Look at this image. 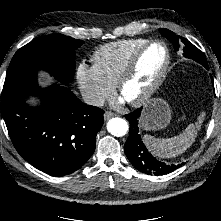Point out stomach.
I'll list each match as a JSON object with an SVG mask.
<instances>
[{"label": "stomach", "mask_w": 221, "mask_h": 221, "mask_svg": "<svg viewBox=\"0 0 221 221\" xmlns=\"http://www.w3.org/2000/svg\"><path fill=\"white\" fill-rule=\"evenodd\" d=\"M171 120L169 105L162 98L150 99L140 117V126L146 131H156L168 126Z\"/></svg>", "instance_id": "stomach-1"}]
</instances>
